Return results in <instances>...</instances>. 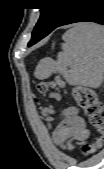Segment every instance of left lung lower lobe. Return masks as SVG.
I'll return each instance as SVG.
<instances>
[{"label": "left lung lower lobe", "mask_w": 104, "mask_h": 169, "mask_svg": "<svg viewBox=\"0 0 104 169\" xmlns=\"http://www.w3.org/2000/svg\"><path fill=\"white\" fill-rule=\"evenodd\" d=\"M76 22H95L104 25L103 0H77V4L72 11L57 25V27ZM49 33V31H34L28 47L34 45Z\"/></svg>", "instance_id": "1"}]
</instances>
